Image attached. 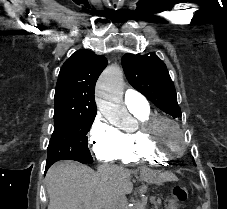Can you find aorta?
<instances>
[{
  "mask_svg": "<svg viewBox=\"0 0 227 209\" xmlns=\"http://www.w3.org/2000/svg\"><path fill=\"white\" fill-rule=\"evenodd\" d=\"M123 73L119 66L112 65L104 70L96 85V101L99 110L109 120L128 115L123 105ZM132 209H144L141 202H137Z\"/></svg>",
  "mask_w": 227,
  "mask_h": 209,
  "instance_id": "1",
  "label": "aorta"
}]
</instances>
